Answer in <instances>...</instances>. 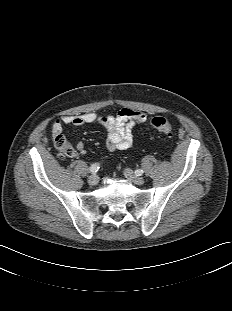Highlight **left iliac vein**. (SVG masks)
<instances>
[{
  "label": "left iliac vein",
  "instance_id": "obj_1",
  "mask_svg": "<svg viewBox=\"0 0 232 311\" xmlns=\"http://www.w3.org/2000/svg\"><path fill=\"white\" fill-rule=\"evenodd\" d=\"M124 175L127 179L131 180L133 183L137 185H143L145 182L143 177L135 175L134 172L129 168H126L124 170Z\"/></svg>",
  "mask_w": 232,
  "mask_h": 311
}]
</instances>
